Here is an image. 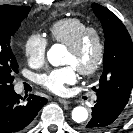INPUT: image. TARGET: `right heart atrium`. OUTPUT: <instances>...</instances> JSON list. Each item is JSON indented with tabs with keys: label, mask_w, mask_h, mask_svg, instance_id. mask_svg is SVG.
I'll list each match as a JSON object with an SVG mask.
<instances>
[{
	"label": "right heart atrium",
	"mask_w": 133,
	"mask_h": 133,
	"mask_svg": "<svg viewBox=\"0 0 133 133\" xmlns=\"http://www.w3.org/2000/svg\"><path fill=\"white\" fill-rule=\"evenodd\" d=\"M47 46L48 41L42 34L33 33L29 35L23 45V51L28 62L33 66L43 65Z\"/></svg>",
	"instance_id": "right-heart-atrium-1"
}]
</instances>
